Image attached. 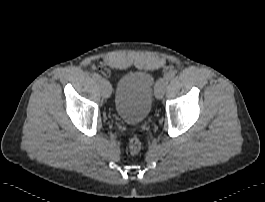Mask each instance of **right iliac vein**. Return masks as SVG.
<instances>
[{"mask_svg":"<svg viewBox=\"0 0 265 202\" xmlns=\"http://www.w3.org/2000/svg\"><path fill=\"white\" fill-rule=\"evenodd\" d=\"M98 84L101 89L102 96L108 98L111 95L112 90L110 83L107 80L101 78L98 81Z\"/></svg>","mask_w":265,"mask_h":202,"instance_id":"obj_1","label":"right iliac vein"}]
</instances>
